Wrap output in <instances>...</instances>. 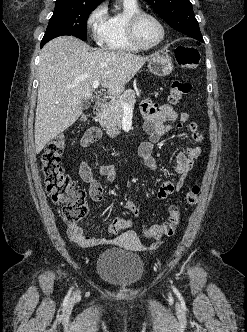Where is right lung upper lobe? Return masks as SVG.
I'll return each mask as SVG.
<instances>
[{
	"label": "right lung upper lobe",
	"mask_w": 247,
	"mask_h": 332,
	"mask_svg": "<svg viewBox=\"0 0 247 332\" xmlns=\"http://www.w3.org/2000/svg\"><path fill=\"white\" fill-rule=\"evenodd\" d=\"M92 1L102 2L103 0H92Z\"/></svg>",
	"instance_id": "right-lung-upper-lobe-1"
}]
</instances>
